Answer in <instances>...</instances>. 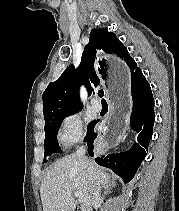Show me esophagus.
Listing matches in <instances>:
<instances>
[{"label":"esophagus","mask_w":179,"mask_h":211,"mask_svg":"<svg viewBox=\"0 0 179 211\" xmlns=\"http://www.w3.org/2000/svg\"><path fill=\"white\" fill-rule=\"evenodd\" d=\"M99 79L105 82L107 94H109L108 113L106 128L101 133V140L97 145L98 149H112V145H119L123 141V133L127 130V121L130 117L131 83L128 82L127 64H121L120 56H102L96 65Z\"/></svg>","instance_id":"1"}]
</instances>
